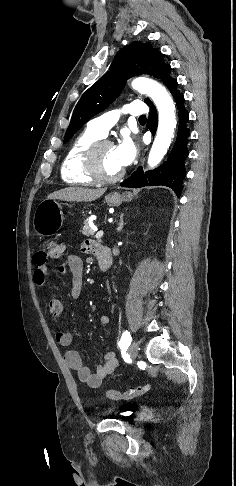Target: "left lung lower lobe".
Here are the masks:
<instances>
[{
	"label": "left lung lower lobe",
	"mask_w": 236,
	"mask_h": 486,
	"mask_svg": "<svg viewBox=\"0 0 236 486\" xmlns=\"http://www.w3.org/2000/svg\"><path fill=\"white\" fill-rule=\"evenodd\" d=\"M176 101L179 110V126L177 138L167 160L153 171L143 172L142 167L138 168L128 179L121 183L122 187L138 188L144 186L164 185L172 188L178 197L182 189V180L186 175L184 160L188 156L186 146L189 131L186 129V122L189 119L188 112L184 109V97L177 91V80L171 78L165 82ZM147 127L154 135L157 129V111L152 102Z\"/></svg>",
	"instance_id": "obj_1"
}]
</instances>
